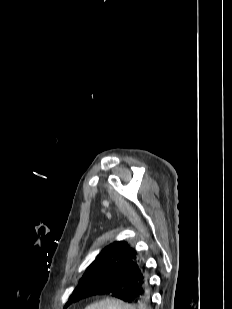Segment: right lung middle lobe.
Listing matches in <instances>:
<instances>
[{
	"mask_svg": "<svg viewBox=\"0 0 232 309\" xmlns=\"http://www.w3.org/2000/svg\"><path fill=\"white\" fill-rule=\"evenodd\" d=\"M132 279V275L117 273L115 271H98L93 274L83 275L80 283L70 295L66 307L86 297V291L90 286L114 283L117 280Z\"/></svg>",
	"mask_w": 232,
	"mask_h": 309,
	"instance_id": "obj_1",
	"label": "right lung middle lobe"
}]
</instances>
